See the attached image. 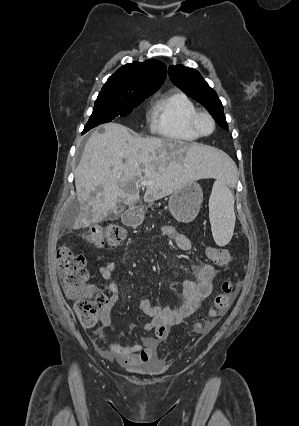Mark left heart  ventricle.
Returning a JSON list of instances; mask_svg holds the SVG:
<instances>
[{
  "label": "left heart ventricle",
  "mask_w": 299,
  "mask_h": 426,
  "mask_svg": "<svg viewBox=\"0 0 299 426\" xmlns=\"http://www.w3.org/2000/svg\"><path fill=\"white\" fill-rule=\"evenodd\" d=\"M200 128L203 132H210L212 130V124L207 118H202L200 120Z\"/></svg>",
  "instance_id": "b2bd125f"
}]
</instances>
